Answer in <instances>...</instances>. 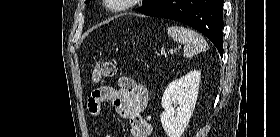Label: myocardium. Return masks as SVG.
I'll return each instance as SVG.
<instances>
[{
  "label": "myocardium",
  "mask_w": 280,
  "mask_h": 137,
  "mask_svg": "<svg viewBox=\"0 0 280 137\" xmlns=\"http://www.w3.org/2000/svg\"><path fill=\"white\" fill-rule=\"evenodd\" d=\"M106 2H120L121 4L117 8H114V11L121 12L131 8L136 0H106ZM108 5L112 6V4Z\"/></svg>",
  "instance_id": "obj_1"
}]
</instances>
